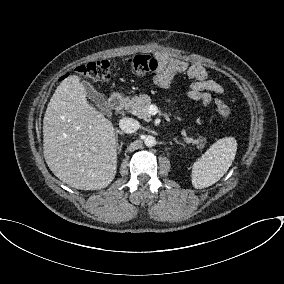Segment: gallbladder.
<instances>
[{"mask_svg":"<svg viewBox=\"0 0 284 284\" xmlns=\"http://www.w3.org/2000/svg\"><path fill=\"white\" fill-rule=\"evenodd\" d=\"M84 87L89 99L97 106L104 114H109L110 110L104 96L96 91L89 83H84Z\"/></svg>","mask_w":284,"mask_h":284,"instance_id":"bac80fb5","label":"gallbladder"}]
</instances>
